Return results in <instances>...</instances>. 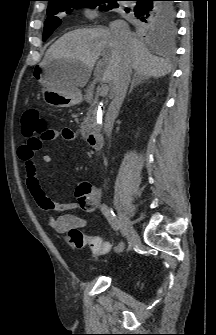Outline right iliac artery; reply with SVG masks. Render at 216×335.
I'll return each instance as SVG.
<instances>
[{"mask_svg":"<svg viewBox=\"0 0 216 335\" xmlns=\"http://www.w3.org/2000/svg\"><path fill=\"white\" fill-rule=\"evenodd\" d=\"M101 211L108 220L111 227L118 232L119 229L121 228V225L114 212L106 204L101 205ZM124 247H125L124 242L120 241L114 249L115 253L120 254L121 252H123Z\"/></svg>","mask_w":216,"mask_h":335,"instance_id":"82829eb1","label":"right iliac artery"}]
</instances>
